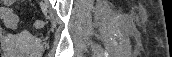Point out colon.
I'll use <instances>...</instances> for the list:
<instances>
[{
    "mask_svg": "<svg viewBox=\"0 0 172 57\" xmlns=\"http://www.w3.org/2000/svg\"><path fill=\"white\" fill-rule=\"evenodd\" d=\"M0 18L4 21L5 25L9 28L15 29L19 25V18L13 13L10 8L2 7L0 8ZM34 27L36 29H41L44 27V21L36 20L34 22Z\"/></svg>",
    "mask_w": 172,
    "mask_h": 57,
    "instance_id": "obj_1",
    "label": "colon"
}]
</instances>
